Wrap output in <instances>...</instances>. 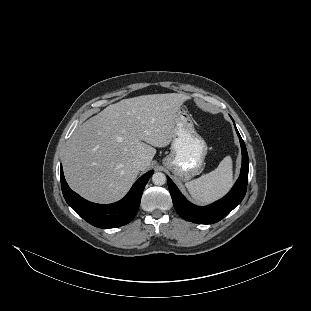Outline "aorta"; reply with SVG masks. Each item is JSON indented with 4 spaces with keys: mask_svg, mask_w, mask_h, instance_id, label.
<instances>
[{
    "mask_svg": "<svg viewBox=\"0 0 311 311\" xmlns=\"http://www.w3.org/2000/svg\"><path fill=\"white\" fill-rule=\"evenodd\" d=\"M167 181L166 175L162 172H155L152 175V182L154 185L161 186L164 185Z\"/></svg>",
    "mask_w": 311,
    "mask_h": 311,
    "instance_id": "obj_1",
    "label": "aorta"
}]
</instances>
